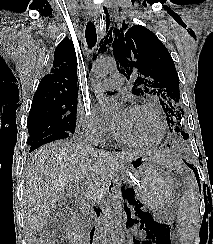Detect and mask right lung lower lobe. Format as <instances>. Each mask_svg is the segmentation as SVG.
<instances>
[{
    "label": "right lung lower lobe",
    "mask_w": 213,
    "mask_h": 244,
    "mask_svg": "<svg viewBox=\"0 0 213 244\" xmlns=\"http://www.w3.org/2000/svg\"><path fill=\"white\" fill-rule=\"evenodd\" d=\"M69 135H70V133H68V132H60V133L52 134V135L38 141L37 143L30 145V151L29 152H32L35 149H37L38 147H40L44 144L50 143L52 141L68 138Z\"/></svg>",
    "instance_id": "obj_1"
}]
</instances>
